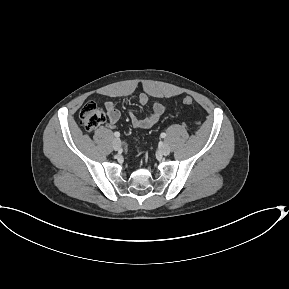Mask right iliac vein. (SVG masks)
I'll return each instance as SVG.
<instances>
[{"mask_svg":"<svg viewBox=\"0 0 289 289\" xmlns=\"http://www.w3.org/2000/svg\"><path fill=\"white\" fill-rule=\"evenodd\" d=\"M113 148L117 151L121 148V141L120 139L116 138L113 141Z\"/></svg>","mask_w":289,"mask_h":289,"instance_id":"right-iliac-vein-1","label":"right iliac vein"}]
</instances>
